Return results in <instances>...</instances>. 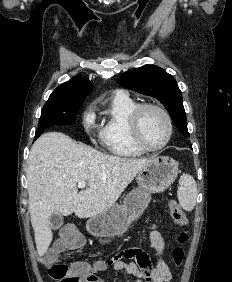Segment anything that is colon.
Listing matches in <instances>:
<instances>
[{"instance_id": "1", "label": "colon", "mask_w": 232, "mask_h": 282, "mask_svg": "<svg viewBox=\"0 0 232 282\" xmlns=\"http://www.w3.org/2000/svg\"><path fill=\"white\" fill-rule=\"evenodd\" d=\"M169 213L174 222L179 226H184L187 223L186 216L181 210L179 204L170 199L167 202ZM189 239L187 232L182 231L177 240L179 244H185ZM84 243L83 238L75 231L68 229L63 231L56 249H52L44 257L43 263L47 268L49 276L57 282H88L91 278L90 267L85 262H74L71 265L57 263L58 250L67 249L73 250L81 247ZM129 253L138 254V250H129ZM173 261L176 265H181L184 257V251L181 246L175 247L172 252Z\"/></svg>"}]
</instances>
